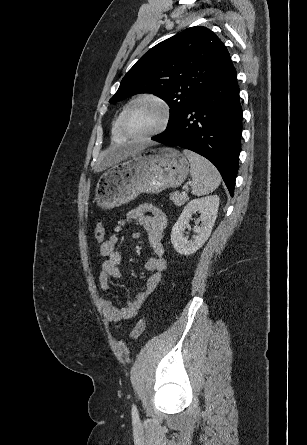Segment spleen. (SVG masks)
Listing matches in <instances>:
<instances>
[{
	"mask_svg": "<svg viewBox=\"0 0 307 445\" xmlns=\"http://www.w3.org/2000/svg\"><path fill=\"white\" fill-rule=\"evenodd\" d=\"M183 152L190 162L192 194L202 196V194H209V192L218 188L221 182V174L216 166L197 152H192V150H183Z\"/></svg>",
	"mask_w": 307,
	"mask_h": 445,
	"instance_id": "3e777b00",
	"label": "spleen"
}]
</instances>
